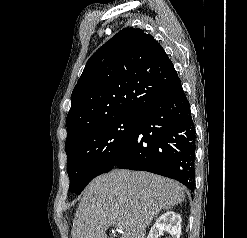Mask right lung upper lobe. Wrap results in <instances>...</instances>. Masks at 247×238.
I'll list each match as a JSON object with an SVG mask.
<instances>
[{
	"label": "right lung upper lobe",
	"mask_w": 247,
	"mask_h": 238,
	"mask_svg": "<svg viewBox=\"0 0 247 238\" xmlns=\"http://www.w3.org/2000/svg\"><path fill=\"white\" fill-rule=\"evenodd\" d=\"M178 81L171 60L150 34L124 28L86 63L71 95L65 145L101 123L139 114L167 96Z\"/></svg>",
	"instance_id": "1"
}]
</instances>
